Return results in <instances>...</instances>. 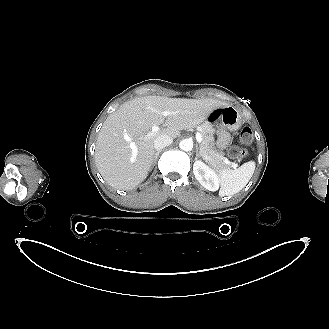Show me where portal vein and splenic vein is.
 <instances>
[{
	"instance_id": "obj_1",
	"label": "portal vein and splenic vein",
	"mask_w": 329,
	"mask_h": 329,
	"mask_svg": "<svg viewBox=\"0 0 329 329\" xmlns=\"http://www.w3.org/2000/svg\"><path fill=\"white\" fill-rule=\"evenodd\" d=\"M162 114H163V116L167 117L169 115V112L168 111H163ZM159 130H160V128L158 126H153L152 127V130L148 133V135L150 136V135L156 134ZM124 138L127 141H130V137L127 134L124 135ZM196 140H197V142L199 144L202 142V135H201V133L198 132L196 134ZM131 149H132L133 154L136 155L137 154V148H136V146L133 145V144H131Z\"/></svg>"
}]
</instances>
